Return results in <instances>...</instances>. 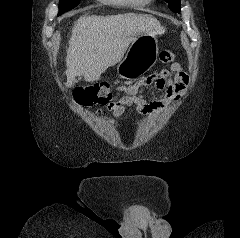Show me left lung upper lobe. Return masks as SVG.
Returning a JSON list of instances; mask_svg holds the SVG:
<instances>
[{"mask_svg":"<svg viewBox=\"0 0 240 238\" xmlns=\"http://www.w3.org/2000/svg\"><path fill=\"white\" fill-rule=\"evenodd\" d=\"M168 5H169V8L174 11V12H177V13H180V0H165Z\"/></svg>","mask_w":240,"mask_h":238,"instance_id":"1","label":"left lung upper lobe"}]
</instances>
